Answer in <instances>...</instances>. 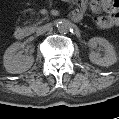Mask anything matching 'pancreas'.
<instances>
[{"label":"pancreas","instance_id":"pancreas-1","mask_svg":"<svg viewBox=\"0 0 119 119\" xmlns=\"http://www.w3.org/2000/svg\"><path fill=\"white\" fill-rule=\"evenodd\" d=\"M41 22H42V21H39V22H37V23H35V24L29 26V27H28V30L31 31V32L35 31L36 27H37Z\"/></svg>","mask_w":119,"mask_h":119}]
</instances>
